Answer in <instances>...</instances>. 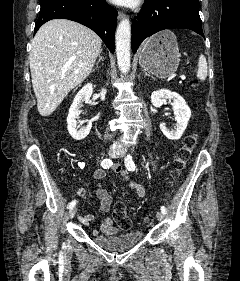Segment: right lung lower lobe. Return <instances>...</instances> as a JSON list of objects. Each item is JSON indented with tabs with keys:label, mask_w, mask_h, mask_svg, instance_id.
Here are the masks:
<instances>
[{
	"label": "right lung lower lobe",
	"mask_w": 240,
	"mask_h": 281,
	"mask_svg": "<svg viewBox=\"0 0 240 281\" xmlns=\"http://www.w3.org/2000/svg\"><path fill=\"white\" fill-rule=\"evenodd\" d=\"M40 6L34 34L49 20L69 19L92 29L114 53L118 13L105 0H41Z\"/></svg>",
	"instance_id": "obj_1"
}]
</instances>
